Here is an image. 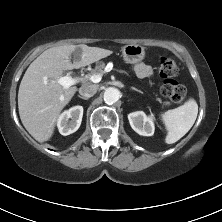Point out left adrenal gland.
<instances>
[{
	"instance_id": "a2214340",
	"label": "left adrenal gland",
	"mask_w": 222,
	"mask_h": 222,
	"mask_svg": "<svg viewBox=\"0 0 222 222\" xmlns=\"http://www.w3.org/2000/svg\"><path fill=\"white\" fill-rule=\"evenodd\" d=\"M131 90H134V91H137V92L143 94V92H142L141 90H138V89H136L135 87H131Z\"/></svg>"
}]
</instances>
